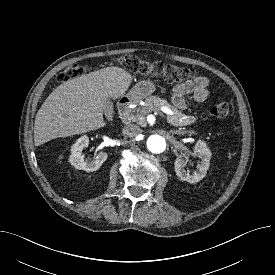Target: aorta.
Returning <instances> with one entry per match:
<instances>
[{"mask_svg":"<svg viewBox=\"0 0 275 275\" xmlns=\"http://www.w3.org/2000/svg\"><path fill=\"white\" fill-rule=\"evenodd\" d=\"M147 148L150 152L160 154L166 149V141L160 135H151L147 139Z\"/></svg>","mask_w":275,"mask_h":275,"instance_id":"762f6f07","label":"aorta"}]
</instances>
